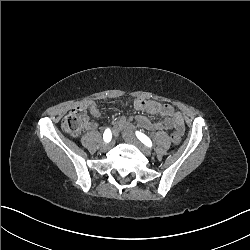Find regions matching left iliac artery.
I'll return each mask as SVG.
<instances>
[{
    "label": "left iliac artery",
    "instance_id": "44dca946",
    "mask_svg": "<svg viewBox=\"0 0 250 250\" xmlns=\"http://www.w3.org/2000/svg\"><path fill=\"white\" fill-rule=\"evenodd\" d=\"M136 136L137 138L146 146L148 147H152V142L151 140L143 133L136 131Z\"/></svg>",
    "mask_w": 250,
    "mask_h": 250
}]
</instances>
